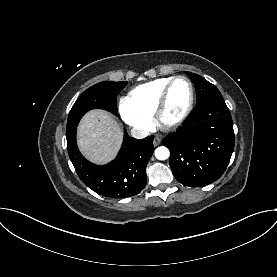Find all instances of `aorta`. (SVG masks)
I'll return each mask as SVG.
<instances>
[{
  "mask_svg": "<svg viewBox=\"0 0 277 277\" xmlns=\"http://www.w3.org/2000/svg\"><path fill=\"white\" fill-rule=\"evenodd\" d=\"M170 152L167 147L160 146L155 150V157L158 160H166L169 158Z\"/></svg>",
  "mask_w": 277,
  "mask_h": 277,
  "instance_id": "obj_1",
  "label": "aorta"
}]
</instances>
